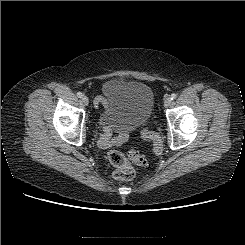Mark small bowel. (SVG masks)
I'll return each instance as SVG.
<instances>
[{"label":"small bowel","instance_id":"c3829d8e","mask_svg":"<svg viewBox=\"0 0 245 245\" xmlns=\"http://www.w3.org/2000/svg\"><path fill=\"white\" fill-rule=\"evenodd\" d=\"M106 101L103 98L95 99V106L98 107L100 104L105 103ZM111 130L108 127L103 128L102 135L99 138V146L102 149H108L112 146L121 145L127 138V132L120 133L117 137L110 140Z\"/></svg>","mask_w":245,"mask_h":245}]
</instances>
